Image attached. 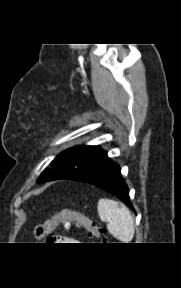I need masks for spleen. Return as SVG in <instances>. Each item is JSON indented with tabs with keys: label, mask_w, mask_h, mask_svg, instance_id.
Returning <instances> with one entry per match:
<instances>
[{
	"label": "spleen",
	"mask_w": 181,
	"mask_h": 288,
	"mask_svg": "<svg viewBox=\"0 0 181 288\" xmlns=\"http://www.w3.org/2000/svg\"><path fill=\"white\" fill-rule=\"evenodd\" d=\"M98 213L103 222L107 223L109 232L123 243L133 239L134 220L129 209L120 202L101 198L98 201Z\"/></svg>",
	"instance_id": "1"
}]
</instances>
